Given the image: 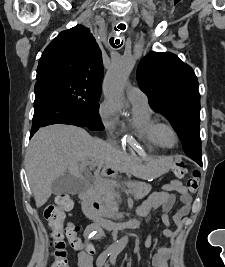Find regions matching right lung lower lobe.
<instances>
[{
    "mask_svg": "<svg viewBox=\"0 0 225 267\" xmlns=\"http://www.w3.org/2000/svg\"><path fill=\"white\" fill-rule=\"evenodd\" d=\"M51 124H70L86 127L80 117L63 101L42 84H35L34 116L30 138L40 128Z\"/></svg>",
    "mask_w": 225,
    "mask_h": 267,
    "instance_id": "obj_1",
    "label": "right lung lower lobe"
}]
</instances>
